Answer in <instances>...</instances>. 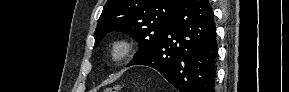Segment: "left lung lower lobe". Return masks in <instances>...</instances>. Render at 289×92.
I'll return each mask as SVG.
<instances>
[{
    "label": "left lung lower lobe",
    "mask_w": 289,
    "mask_h": 92,
    "mask_svg": "<svg viewBox=\"0 0 289 92\" xmlns=\"http://www.w3.org/2000/svg\"><path fill=\"white\" fill-rule=\"evenodd\" d=\"M216 27L208 0H185L156 48L129 65L158 70L180 92H214Z\"/></svg>",
    "instance_id": "1"
}]
</instances>
